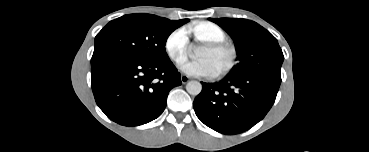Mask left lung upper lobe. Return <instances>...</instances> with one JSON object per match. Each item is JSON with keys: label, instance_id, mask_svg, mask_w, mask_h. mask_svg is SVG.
Instances as JSON below:
<instances>
[{"label": "left lung upper lobe", "instance_id": "obj_1", "mask_svg": "<svg viewBox=\"0 0 369 152\" xmlns=\"http://www.w3.org/2000/svg\"><path fill=\"white\" fill-rule=\"evenodd\" d=\"M233 39L238 63L231 75H272L281 77L284 59L277 39L265 28L246 19L209 18Z\"/></svg>", "mask_w": 369, "mask_h": 152}]
</instances>
